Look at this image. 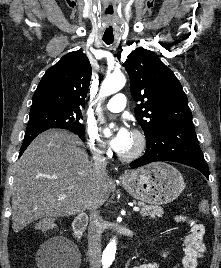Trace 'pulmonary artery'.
<instances>
[{
    "label": "pulmonary artery",
    "mask_w": 221,
    "mask_h": 268,
    "mask_svg": "<svg viewBox=\"0 0 221 268\" xmlns=\"http://www.w3.org/2000/svg\"><path fill=\"white\" fill-rule=\"evenodd\" d=\"M126 106V97L124 94H116L114 95L106 104V109L110 112H120L122 111Z\"/></svg>",
    "instance_id": "obj_1"
}]
</instances>
